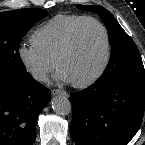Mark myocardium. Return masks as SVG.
<instances>
[{"mask_svg": "<svg viewBox=\"0 0 145 145\" xmlns=\"http://www.w3.org/2000/svg\"><path fill=\"white\" fill-rule=\"evenodd\" d=\"M86 22H93L101 28V30L104 34V38H105L106 52H105V58H104V61L101 65V67L97 70V72L94 75H92L90 78H88L87 80L82 81V82H71L72 86H74L75 88H80V89H84V88L90 87L91 85L95 84L106 72V70L110 64L111 57H112L111 37H110V33H109L107 27L105 26V24L95 17L84 16L81 19H79L76 22V24L72 27V29L69 32V35H68V38H67V41H66L64 47L62 48V50L60 51L59 55L56 58L55 66H56L57 70H59L61 62L73 50V48L75 46L77 32H78L80 26Z\"/></svg>", "mask_w": 145, "mask_h": 145, "instance_id": "myocardium-1", "label": "myocardium"}]
</instances>
